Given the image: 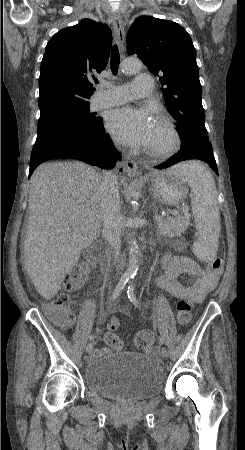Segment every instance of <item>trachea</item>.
<instances>
[{"label":"trachea","instance_id":"1","mask_svg":"<svg viewBox=\"0 0 245 450\" xmlns=\"http://www.w3.org/2000/svg\"><path fill=\"white\" fill-rule=\"evenodd\" d=\"M120 64V54L117 45H114L111 52V71L114 75L117 74Z\"/></svg>","mask_w":245,"mask_h":450}]
</instances>
